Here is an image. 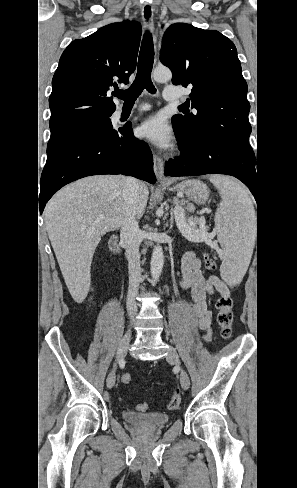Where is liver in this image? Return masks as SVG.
<instances>
[{
  "label": "liver",
  "instance_id": "1",
  "mask_svg": "<svg viewBox=\"0 0 297 488\" xmlns=\"http://www.w3.org/2000/svg\"><path fill=\"white\" fill-rule=\"evenodd\" d=\"M123 175L80 179L58 191L47 203L44 217L51 245L72 298L82 303L90 289V267L101 237L118 229L125 215ZM135 216L144 213L149 190L141 183ZM99 215H104L96 221Z\"/></svg>",
  "mask_w": 297,
  "mask_h": 488
}]
</instances>
